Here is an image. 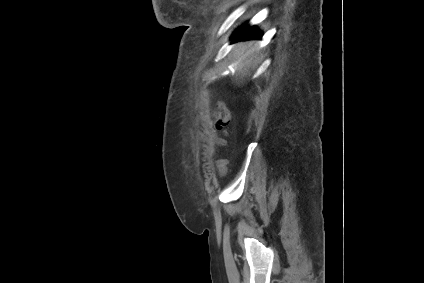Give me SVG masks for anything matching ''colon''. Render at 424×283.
I'll list each match as a JSON object with an SVG mask.
<instances>
[{"label":"colon","mask_w":424,"mask_h":283,"mask_svg":"<svg viewBox=\"0 0 424 283\" xmlns=\"http://www.w3.org/2000/svg\"><path fill=\"white\" fill-rule=\"evenodd\" d=\"M214 117L216 119V130L224 132L230 123V117L227 111L222 107H218L214 112ZM222 142L223 141L220 140V143Z\"/></svg>","instance_id":"1"}]
</instances>
